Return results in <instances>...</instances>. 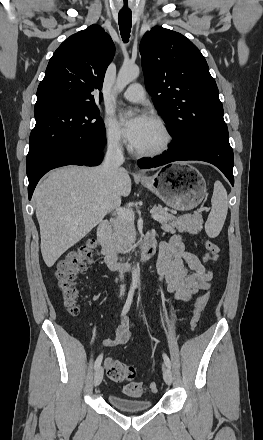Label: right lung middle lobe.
<instances>
[{"label":"right lung middle lobe","instance_id":"1","mask_svg":"<svg viewBox=\"0 0 263 440\" xmlns=\"http://www.w3.org/2000/svg\"><path fill=\"white\" fill-rule=\"evenodd\" d=\"M36 125L29 139L26 164L64 143L105 136L103 120L95 105H55L35 108Z\"/></svg>","mask_w":263,"mask_h":440}]
</instances>
